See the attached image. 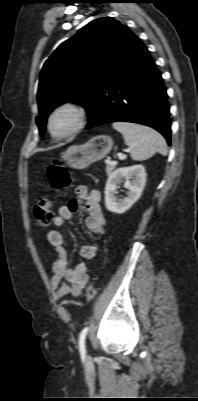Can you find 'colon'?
Wrapping results in <instances>:
<instances>
[{
  "label": "colon",
  "mask_w": 198,
  "mask_h": 401,
  "mask_svg": "<svg viewBox=\"0 0 198 401\" xmlns=\"http://www.w3.org/2000/svg\"><path fill=\"white\" fill-rule=\"evenodd\" d=\"M50 185L62 191L71 185V177L68 170L59 162L53 161L46 169ZM34 217L39 226H48L53 220V205L48 199H41L34 207ZM96 280L89 283L86 288V299L92 300L96 296Z\"/></svg>",
  "instance_id": "obj_1"
}]
</instances>
